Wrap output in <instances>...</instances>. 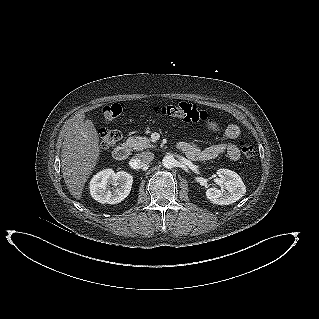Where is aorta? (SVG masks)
<instances>
[{
    "label": "aorta",
    "mask_w": 319,
    "mask_h": 319,
    "mask_svg": "<svg viewBox=\"0 0 319 319\" xmlns=\"http://www.w3.org/2000/svg\"><path fill=\"white\" fill-rule=\"evenodd\" d=\"M162 164L165 168H173L176 165V159L172 155L165 156Z\"/></svg>",
    "instance_id": "aorta-1"
}]
</instances>
